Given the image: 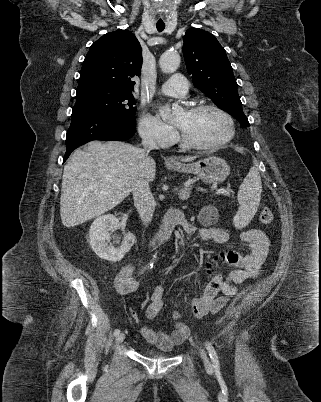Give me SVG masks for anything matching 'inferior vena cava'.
Here are the masks:
<instances>
[{
    "mask_svg": "<svg viewBox=\"0 0 321 402\" xmlns=\"http://www.w3.org/2000/svg\"><path fill=\"white\" fill-rule=\"evenodd\" d=\"M142 146L146 158L151 150L158 149L155 139L150 135H143ZM134 205L137 208L143 225L147 226L153 217L155 200L150 191L148 181L143 176H138L132 186Z\"/></svg>",
    "mask_w": 321,
    "mask_h": 402,
    "instance_id": "602c4592",
    "label": "inferior vena cava"
}]
</instances>
